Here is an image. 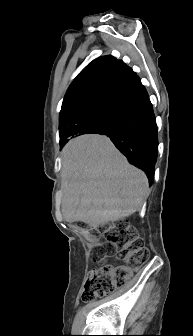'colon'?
<instances>
[{"label":"colon","instance_id":"colon-1","mask_svg":"<svg viewBox=\"0 0 193 336\" xmlns=\"http://www.w3.org/2000/svg\"><path fill=\"white\" fill-rule=\"evenodd\" d=\"M104 248L108 254L124 261L118 265H104L90 271L82 291L81 299L85 303L105 296L126 284L132 272L142 265L149 256L143 241L128 230L123 220L102 232Z\"/></svg>","mask_w":193,"mask_h":336}]
</instances>
